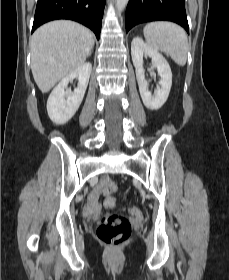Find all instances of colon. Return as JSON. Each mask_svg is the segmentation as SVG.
Returning a JSON list of instances; mask_svg holds the SVG:
<instances>
[{
    "label": "colon",
    "mask_w": 229,
    "mask_h": 280,
    "mask_svg": "<svg viewBox=\"0 0 229 280\" xmlns=\"http://www.w3.org/2000/svg\"><path fill=\"white\" fill-rule=\"evenodd\" d=\"M101 187L106 193L116 189L115 181L105 178L101 182ZM135 216H139L141 211L137 208L132 210ZM131 235V226L127 218L120 215H104L98 220L97 237L101 243L109 247L121 246Z\"/></svg>",
    "instance_id": "5ec220e1"
}]
</instances>
